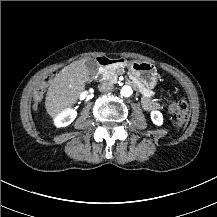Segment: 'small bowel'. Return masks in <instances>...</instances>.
<instances>
[{
    "label": "small bowel",
    "mask_w": 217,
    "mask_h": 217,
    "mask_svg": "<svg viewBox=\"0 0 217 217\" xmlns=\"http://www.w3.org/2000/svg\"><path fill=\"white\" fill-rule=\"evenodd\" d=\"M142 104H143V107L145 108V110H147V111H153V110H157L159 108L158 103H156L150 97L144 98Z\"/></svg>",
    "instance_id": "obj_1"
}]
</instances>
